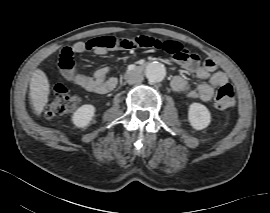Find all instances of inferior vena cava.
Wrapping results in <instances>:
<instances>
[{
    "instance_id": "1",
    "label": "inferior vena cava",
    "mask_w": 270,
    "mask_h": 213,
    "mask_svg": "<svg viewBox=\"0 0 270 213\" xmlns=\"http://www.w3.org/2000/svg\"><path fill=\"white\" fill-rule=\"evenodd\" d=\"M143 75L136 73V72H131L127 76V83L132 85V84H138L143 81Z\"/></svg>"
}]
</instances>
